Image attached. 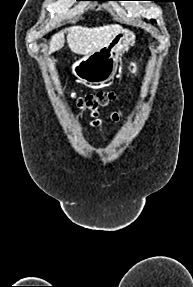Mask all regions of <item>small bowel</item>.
I'll list each match as a JSON object with an SVG mask.
<instances>
[{
    "instance_id": "small-bowel-1",
    "label": "small bowel",
    "mask_w": 193,
    "mask_h": 287,
    "mask_svg": "<svg viewBox=\"0 0 193 287\" xmlns=\"http://www.w3.org/2000/svg\"><path fill=\"white\" fill-rule=\"evenodd\" d=\"M112 118H113L114 120H116V119H117V114H114V115L112 116ZM95 124L98 125V122H96Z\"/></svg>"
}]
</instances>
